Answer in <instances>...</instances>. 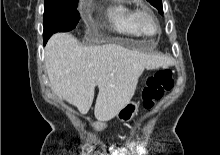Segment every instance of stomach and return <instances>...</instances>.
<instances>
[{"mask_svg":"<svg viewBox=\"0 0 220 155\" xmlns=\"http://www.w3.org/2000/svg\"><path fill=\"white\" fill-rule=\"evenodd\" d=\"M139 111V102L130 101L128 102L117 114V119L123 123L130 122ZM106 125L102 122L94 123L96 130H103Z\"/></svg>","mask_w":220,"mask_h":155,"instance_id":"stomach-1","label":"stomach"}]
</instances>
